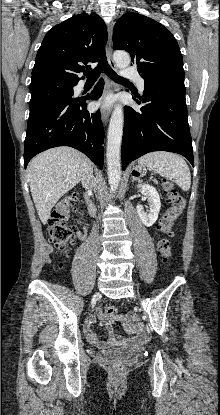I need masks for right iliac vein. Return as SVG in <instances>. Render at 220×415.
I'll return each mask as SVG.
<instances>
[{
    "label": "right iliac vein",
    "mask_w": 220,
    "mask_h": 415,
    "mask_svg": "<svg viewBox=\"0 0 220 415\" xmlns=\"http://www.w3.org/2000/svg\"><path fill=\"white\" fill-rule=\"evenodd\" d=\"M98 297H99V293L95 292L94 295H93V298H92V304L93 305L96 303V300L98 299Z\"/></svg>",
    "instance_id": "right-iliac-vein-1"
}]
</instances>
